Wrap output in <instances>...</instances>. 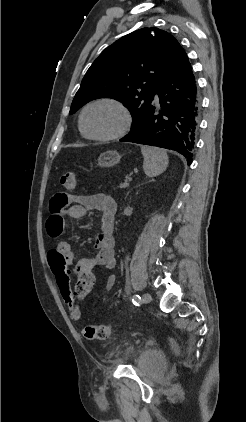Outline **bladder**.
I'll return each instance as SVG.
<instances>
[{
  "label": "bladder",
  "mask_w": 246,
  "mask_h": 422,
  "mask_svg": "<svg viewBox=\"0 0 246 422\" xmlns=\"http://www.w3.org/2000/svg\"><path fill=\"white\" fill-rule=\"evenodd\" d=\"M126 357H127V359H129L131 361L138 360L137 353L132 347H129L126 350ZM144 357L149 362V364L151 366L155 367V368L162 367L164 365V362H165L163 354L160 353L159 351H151V352L147 353Z\"/></svg>",
  "instance_id": "obj_1"
}]
</instances>
